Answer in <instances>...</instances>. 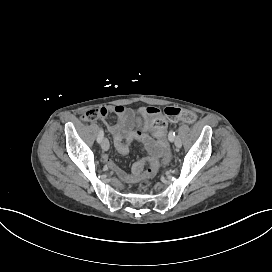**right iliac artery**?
<instances>
[{
	"label": "right iliac artery",
	"instance_id": "82829eb1",
	"mask_svg": "<svg viewBox=\"0 0 272 272\" xmlns=\"http://www.w3.org/2000/svg\"><path fill=\"white\" fill-rule=\"evenodd\" d=\"M103 136H104V132H103V129L100 128L99 130V135H98V138H97V142L100 143L103 139Z\"/></svg>",
	"mask_w": 272,
	"mask_h": 272
}]
</instances>
